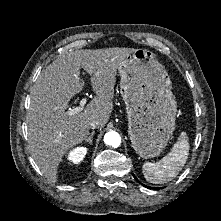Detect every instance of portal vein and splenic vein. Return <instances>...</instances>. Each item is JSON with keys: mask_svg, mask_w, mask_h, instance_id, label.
Wrapping results in <instances>:
<instances>
[{"mask_svg": "<svg viewBox=\"0 0 221 221\" xmlns=\"http://www.w3.org/2000/svg\"><path fill=\"white\" fill-rule=\"evenodd\" d=\"M86 102H87V98H82V100L80 101V106H77L73 109H69V111H66V115L72 116L77 113H80L81 111L84 110V106L86 105Z\"/></svg>", "mask_w": 221, "mask_h": 221, "instance_id": "18ae733b", "label": "portal vein and splenic vein"}]
</instances>
